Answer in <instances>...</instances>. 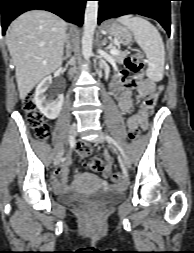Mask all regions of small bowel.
Returning <instances> with one entry per match:
<instances>
[{
	"mask_svg": "<svg viewBox=\"0 0 194 253\" xmlns=\"http://www.w3.org/2000/svg\"><path fill=\"white\" fill-rule=\"evenodd\" d=\"M113 93L118 102V107L123 114H128L134 107V104L138 98H149L151 96L157 97L158 88L150 79H141L138 76L128 77L125 72L121 73L118 80L113 82ZM135 89L136 96L132 95V90ZM149 114L137 113L130 116L127 119L128 129L146 130L148 127ZM114 160L112 156H106V164L103 170V176L108 177L113 167ZM70 159H67L62 165H60L52 175V181L54 188L58 192L66 191L68 166Z\"/></svg>",
	"mask_w": 194,
	"mask_h": 253,
	"instance_id": "small-bowel-1",
	"label": "small bowel"
}]
</instances>
